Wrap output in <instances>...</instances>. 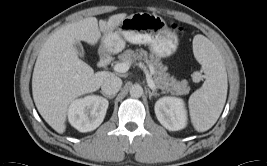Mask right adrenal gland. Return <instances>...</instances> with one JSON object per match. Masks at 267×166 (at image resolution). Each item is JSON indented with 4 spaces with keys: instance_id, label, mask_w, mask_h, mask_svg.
I'll return each mask as SVG.
<instances>
[{
    "instance_id": "2a0ac1e0",
    "label": "right adrenal gland",
    "mask_w": 267,
    "mask_h": 166,
    "mask_svg": "<svg viewBox=\"0 0 267 166\" xmlns=\"http://www.w3.org/2000/svg\"><path fill=\"white\" fill-rule=\"evenodd\" d=\"M100 93L103 94L108 99H113L115 97V95L109 96V95H105L103 92H100Z\"/></svg>"
}]
</instances>
